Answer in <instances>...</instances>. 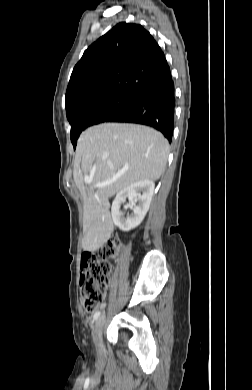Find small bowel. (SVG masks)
Here are the masks:
<instances>
[{
	"instance_id": "obj_1",
	"label": "small bowel",
	"mask_w": 252,
	"mask_h": 390,
	"mask_svg": "<svg viewBox=\"0 0 252 390\" xmlns=\"http://www.w3.org/2000/svg\"><path fill=\"white\" fill-rule=\"evenodd\" d=\"M105 307V304L104 303H102L101 304V306H100V308H104Z\"/></svg>"
}]
</instances>
